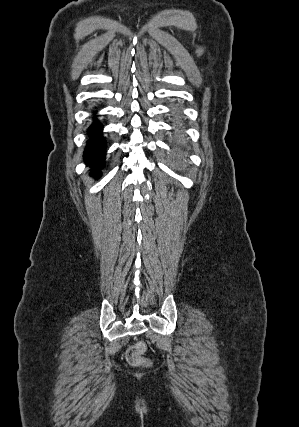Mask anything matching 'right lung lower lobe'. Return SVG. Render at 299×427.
Segmentation results:
<instances>
[{"label": "right lung lower lobe", "instance_id": "right-lung-lower-lobe-1", "mask_svg": "<svg viewBox=\"0 0 299 427\" xmlns=\"http://www.w3.org/2000/svg\"><path fill=\"white\" fill-rule=\"evenodd\" d=\"M102 126L94 123L88 130L89 136L92 138L88 141L84 152L85 162L93 167L92 175L94 177L101 176L98 169L104 166L106 142L101 135Z\"/></svg>", "mask_w": 299, "mask_h": 427}]
</instances>
